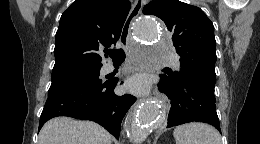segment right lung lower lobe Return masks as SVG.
Returning a JSON list of instances; mask_svg holds the SVG:
<instances>
[{
    "label": "right lung lower lobe",
    "mask_w": 260,
    "mask_h": 144,
    "mask_svg": "<svg viewBox=\"0 0 260 144\" xmlns=\"http://www.w3.org/2000/svg\"><path fill=\"white\" fill-rule=\"evenodd\" d=\"M117 82L108 80L97 85L70 84L50 88L39 129L53 117L68 116L94 121L119 139L122 119L136 98L129 94L115 95L113 89Z\"/></svg>",
    "instance_id": "98d812e1"
}]
</instances>
